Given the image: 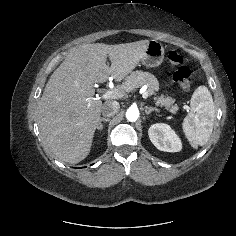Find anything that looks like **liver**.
Listing matches in <instances>:
<instances>
[{"mask_svg": "<svg viewBox=\"0 0 236 236\" xmlns=\"http://www.w3.org/2000/svg\"><path fill=\"white\" fill-rule=\"evenodd\" d=\"M149 42L82 44L52 73L38 103V123L45 146L61 161L76 164L90 153L103 105L94 98V83L109 76L120 82L139 64Z\"/></svg>", "mask_w": 236, "mask_h": 236, "instance_id": "1", "label": "liver"}]
</instances>
